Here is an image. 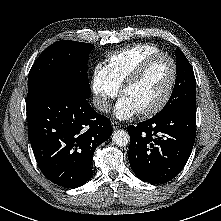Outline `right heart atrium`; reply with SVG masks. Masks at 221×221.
Returning a JSON list of instances; mask_svg holds the SVG:
<instances>
[{"label":"right heart atrium","instance_id":"1","mask_svg":"<svg viewBox=\"0 0 221 221\" xmlns=\"http://www.w3.org/2000/svg\"><path fill=\"white\" fill-rule=\"evenodd\" d=\"M90 84L96 108L101 111L107 110L109 101L117 95L119 90L107 68L100 64L95 65L92 70Z\"/></svg>","mask_w":221,"mask_h":221}]
</instances>
